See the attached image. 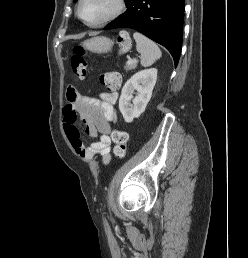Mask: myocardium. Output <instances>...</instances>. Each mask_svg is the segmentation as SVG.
<instances>
[{
    "mask_svg": "<svg viewBox=\"0 0 248 258\" xmlns=\"http://www.w3.org/2000/svg\"><path fill=\"white\" fill-rule=\"evenodd\" d=\"M115 2H116V5H115V8L113 9V11L111 13H109L107 16H105L104 18H102L96 22H88L84 18L83 14H82V6L84 3V0H79L78 7H77V14H78L79 18L86 25H88L90 27H100V26H103L105 24H108V23L114 21L122 14L124 7H125V0H116Z\"/></svg>",
    "mask_w": 248,
    "mask_h": 258,
    "instance_id": "f54148a6",
    "label": "myocardium"
}]
</instances>
